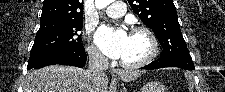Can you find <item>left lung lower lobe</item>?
<instances>
[{
    "label": "left lung lower lobe",
    "instance_id": "obj_1",
    "mask_svg": "<svg viewBox=\"0 0 225 92\" xmlns=\"http://www.w3.org/2000/svg\"><path fill=\"white\" fill-rule=\"evenodd\" d=\"M165 67H178L187 70H193L194 63L191 58H174V59H157L151 62L149 65L142 67L141 69H159Z\"/></svg>",
    "mask_w": 225,
    "mask_h": 92
}]
</instances>
